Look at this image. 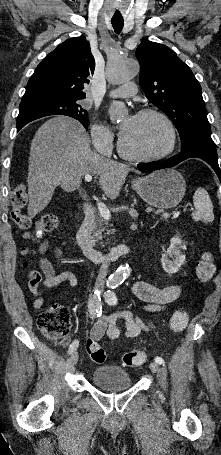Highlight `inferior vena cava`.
<instances>
[{
    "label": "inferior vena cava",
    "instance_id": "inferior-vena-cava-1",
    "mask_svg": "<svg viewBox=\"0 0 221 455\" xmlns=\"http://www.w3.org/2000/svg\"><path fill=\"white\" fill-rule=\"evenodd\" d=\"M108 268H109V264H108L107 261H105L101 265L99 273H98V276H97V279H96V286L97 287L98 286H104L105 280H106V277H107Z\"/></svg>",
    "mask_w": 221,
    "mask_h": 455
}]
</instances>
